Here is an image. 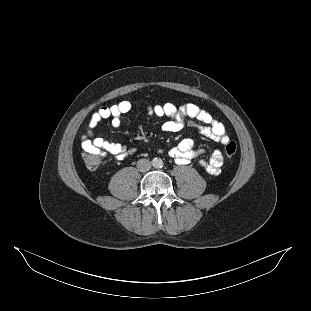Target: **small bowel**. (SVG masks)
Returning a JSON list of instances; mask_svg holds the SVG:
<instances>
[{
  "mask_svg": "<svg viewBox=\"0 0 311 311\" xmlns=\"http://www.w3.org/2000/svg\"><path fill=\"white\" fill-rule=\"evenodd\" d=\"M132 107V102L124 100L111 106H102L96 110L90 116L88 128L82 138L81 145L83 150H103L117 159H123L128 154L126 147L119 143L107 141L102 137H94L93 130L105 119H110L111 124L114 127H118L121 124V116L128 113ZM149 114L168 118L162 125V129L166 132L180 131L186 125L187 120H192L190 121L191 125L207 138L222 145L229 141L224 125L195 104L190 103L179 108H176L171 103L156 105L149 109ZM193 121L200 122V124ZM193 145L194 143L191 139H184L176 147L169 150V155L177 163L187 164L201 153L200 150H194ZM223 162L224 157L221 150L215 149L208 159H201L199 164L208 173L216 175L220 172Z\"/></svg>",
  "mask_w": 311,
  "mask_h": 311,
  "instance_id": "small-bowel-1",
  "label": "small bowel"
}]
</instances>
